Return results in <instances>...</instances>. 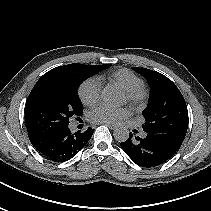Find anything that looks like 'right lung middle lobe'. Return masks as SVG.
Listing matches in <instances>:
<instances>
[{
  "label": "right lung middle lobe",
  "mask_w": 211,
  "mask_h": 211,
  "mask_svg": "<svg viewBox=\"0 0 211 211\" xmlns=\"http://www.w3.org/2000/svg\"><path fill=\"white\" fill-rule=\"evenodd\" d=\"M108 67L110 64L84 65L67 80L35 85L25 105L28 133L64 126L72 117L82 115L83 105L77 93L79 85Z\"/></svg>",
  "instance_id": "dd1d6c3e"
}]
</instances>
